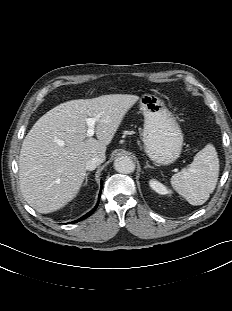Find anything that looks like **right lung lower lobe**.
Listing matches in <instances>:
<instances>
[{"instance_id": "right-lung-lower-lobe-1", "label": "right lung lower lobe", "mask_w": 232, "mask_h": 311, "mask_svg": "<svg viewBox=\"0 0 232 311\" xmlns=\"http://www.w3.org/2000/svg\"><path fill=\"white\" fill-rule=\"evenodd\" d=\"M101 185H102V183H101ZM101 189H102V186H101ZM100 193H101V191H100ZM95 209L96 208L92 209L90 212H88L86 215L82 216L80 219L75 220L74 223L81 221L83 219H86L87 217L91 216L94 213Z\"/></svg>"}]
</instances>
